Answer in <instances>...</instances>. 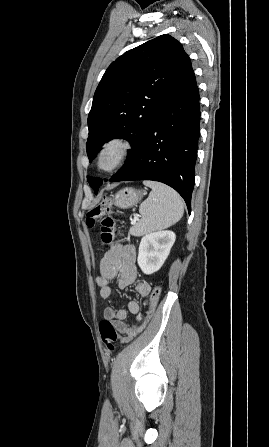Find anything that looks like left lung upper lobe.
Returning <instances> with one entry per match:
<instances>
[{
    "label": "left lung upper lobe",
    "mask_w": 269,
    "mask_h": 447,
    "mask_svg": "<svg viewBox=\"0 0 269 447\" xmlns=\"http://www.w3.org/2000/svg\"><path fill=\"white\" fill-rule=\"evenodd\" d=\"M186 57L176 39L161 35L111 63L95 91L88 115L86 150L90 162L104 143L124 138L132 150L125 165L113 177L130 165L140 152ZM87 180L97 193L103 180L90 176Z\"/></svg>",
    "instance_id": "left-lung-upper-lobe-1"
}]
</instances>
